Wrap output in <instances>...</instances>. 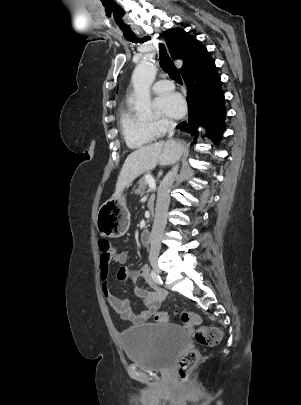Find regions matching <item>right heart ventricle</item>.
<instances>
[{"label":"right heart ventricle","instance_id":"obj_1","mask_svg":"<svg viewBox=\"0 0 301 405\" xmlns=\"http://www.w3.org/2000/svg\"><path fill=\"white\" fill-rule=\"evenodd\" d=\"M119 126L127 146L131 149L147 145L156 137L149 123L137 118L129 105L119 114Z\"/></svg>","mask_w":301,"mask_h":405}]
</instances>
